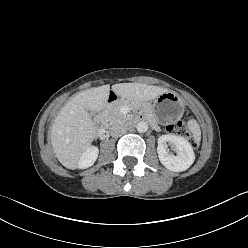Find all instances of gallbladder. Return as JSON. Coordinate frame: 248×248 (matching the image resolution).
Masks as SVG:
<instances>
[{
	"instance_id": "gallbladder-1",
	"label": "gallbladder",
	"mask_w": 248,
	"mask_h": 248,
	"mask_svg": "<svg viewBox=\"0 0 248 248\" xmlns=\"http://www.w3.org/2000/svg\"><path fill=\"white\" fill-rule=\"evenodd\" d=\"M89 114L92 116L93 115V112L92 111H89Z\"/></svg>"
}]
</instances>
